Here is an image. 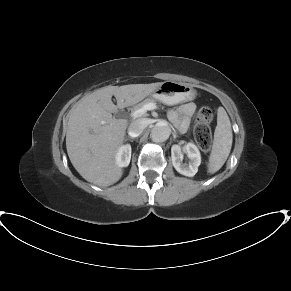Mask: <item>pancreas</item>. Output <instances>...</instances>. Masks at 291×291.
Returning a JSON list of instances; mask_svg holds the SVG:
<instances>
[{
  "label": "pancreas",
  "instance_id": "1",
  "mask_svg": "<svg viewBox=\"0 0 291 291\" xmlns=\"http://www.w3.org/2000/svg\"><path fill=\"white\" fill-rule=\"evenodd\" d=\"M155 100L156 99L154 97H149V98L143 100L142 102H140L139 104L135 105L134 110H137L148 103H153V102H155Z\"/></svg>",
  "mask_w": 291,
  "mask_h": 291
}]
</instances>
